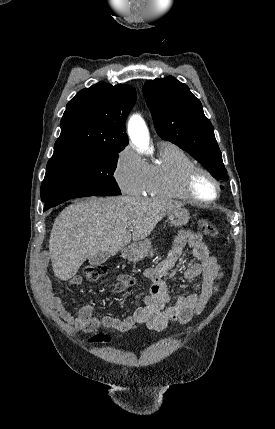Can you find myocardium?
<instances>
[{
    "mask_svg": "<svg viewBox=\"0 0 275 429\" xmlns=\"http://www.w3.org/2000/svg\"><path fill=\"white\" fill-rule=\"evenodd\" d=\"M205 175L207 176L214 184L216 189V194L211 199H203L197 196L194 190V182L198 175ZM181 187L183 190V193L187 197L188 200L198 203V204H210L215 201H217L220 197L221 193V185L217 177L210 172L208 169L200 166V165H194L188 168L185 173L183 174L182 181H181Z\"/></svg>",
    "mask_w": 275,
    "mask_h": 429,
    "instance_id": "myocardium-1",
    "label": "myocardium"
}]
</instances>
